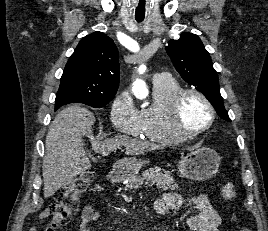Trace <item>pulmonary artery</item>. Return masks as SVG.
I'll return each mask as SVG.
<instances>
[{
	"instance_id": "e3ab8cb5",
	"label": "pulmonary artery",
	"mask_w": 268,
	"mask_h": 231,
	"mask_svg": "<svg viewBox=\"0 0 268 231\" xmlns=\"http://www.w3.org/2000/svg\"><path fill=\"white\" fill-rule=\"evenodd\" d=\"M161 76H164V74H157L156 76H155V79H158L159 77H161ZM154 79V80H155Z\"/></svg>"
}]
</instances>
